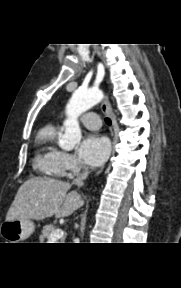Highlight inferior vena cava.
Segmentation results:
<instances>
[{
	"label": "inferior vena cava",
	"mask_w": 181,
	"mask_h": 288,
	"mask_svg": "<svg viewBox=\"0 0 181 288\" xmlns=\"http://www.w3.org/2000/svg\"><path fill=\"white\" fill-rule=\"evenodd\" d=\"M88 173L89 172L87 170H85L80 176H78L76 179H74L73 183L79 187L83 186L84 180L87 178Z\"/></svg>",
	"instance_id": "obj_1"
}]
</instances>
